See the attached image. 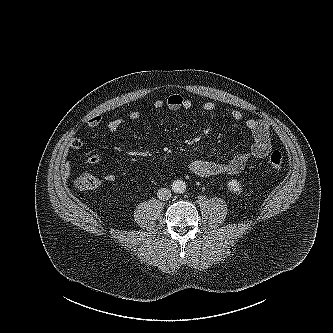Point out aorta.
Instances as JSON below:
<instances>
[{
    "mask_svg": "<svg viewBox=\"0 0 333 333\" xmlns=\"http://www.w3.org/2000/svg\"><path fill=\"white\" fill-rule=\"evenodd\" d=\"M172 189L176 193H183L186 190V183L183 180H175Z\"/></svg>",
    "mask_w": 333,
    "mask_h": 333,
    "instance_id": "1",
    "label": "aorta"
}]
</instances>
